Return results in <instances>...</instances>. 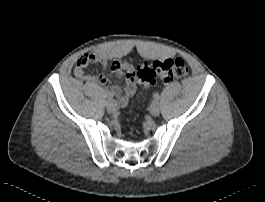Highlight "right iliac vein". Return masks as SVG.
<instances>
[{"instance_id": "obj_1", "label": "right iliac vein", "mask_w": 265, "mask_h": 202, "mask_svg": "<svg viewBox=\"0 0 265 202\" xmlns=\"http://www.w3.org/2000/svg\"><path fill=\"white\" fill-rule=\"evenodd\" d=\"M106 108L109 113H114L118 108L117 102L115 100H109Z\"/></svg>"}]
</instances>
